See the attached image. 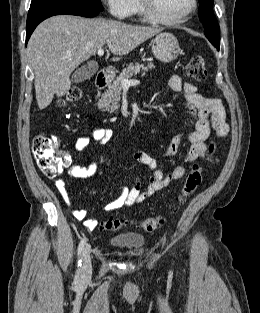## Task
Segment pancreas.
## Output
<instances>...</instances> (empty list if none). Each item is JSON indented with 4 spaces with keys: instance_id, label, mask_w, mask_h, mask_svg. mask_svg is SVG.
I'll return each mask as SVG.
<instances>
[{
    "instance_id": "obj_1",
    "label": "pancreas",
    "mask_w": 260,
    "mask_h": 313,
    "mask_svg": "<svg viewBox=\"0 0 260 313\" xmlns=\"http://www.w3.org/2000/svg\"><path fill=\"white\" fill-rule=\"evenodd\" d=\"M153 64L145 66L144 64H129L126 69L110 84L108 89L101 95V99L98 102V108L104 109L110 113L117 112L120 105L119 101L121 99V80L130 79L132 76L137 75L142 72V76L146 75L148 69L153 68Z\"/></svg>"
}]
</instances>
